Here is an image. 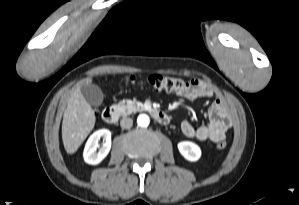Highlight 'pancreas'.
<instances>
[{"instance_id": "pancreas-1", "label": "pancreas", "mask_w": 299, "mask_h": 205, "mask_svg": "<svg viewBox=\"0 0 299 205\" xmlns=\"http://www.w3.org/2000/svg\"><path fill=\"white\" fill-rule=\"evenodd\" d=\"M115 108L119 110L124 116L144 110V106L142 103L128 99L120 101L115 105Z\"/></svg>"}]
</instances>
